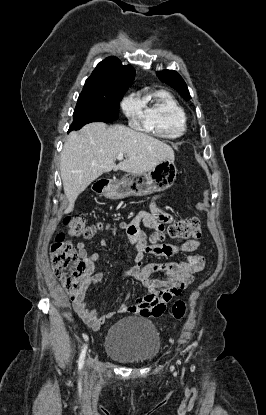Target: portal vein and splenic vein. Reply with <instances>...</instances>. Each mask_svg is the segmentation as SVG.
Returning <instances> with one entry per match:
<instances>
[{"instance_id":"obj_1","label":"portal vein and splenic vein","mask_w":266,"mask_h":415,"mask_svg":"<svg viewBox=\"0 0 266 415\" xmlns=\"http://www.w3.org/2000/svg\"><path fill=\"white\" fill-rule=\"evenodd\" d=\"M123 158H124L123 153H120V154L117 156V159H118V160H122Z\"/></svg>"}]
</instances>
